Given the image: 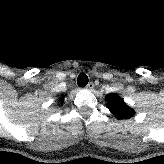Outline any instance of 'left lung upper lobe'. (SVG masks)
I'll return each mask as SVG.
<instances>
[{
	"label": "left lung upper lobe",
	"mask_w": 164,
	"mask_h": 164,
	"mask_svg": "<svg viewBox=\"0 0 164 164\" xmlns=\"http://www.w3.org/2000/svg\"><path fill=\"white\" fill-rule=\"evenodd\" d=\"M108 109L118 119H129L135 112L117 94H109L105 97Z\"/></svg>",
	"instance_id": "left-lung-upper-lobe-1"
}]
</instances>
